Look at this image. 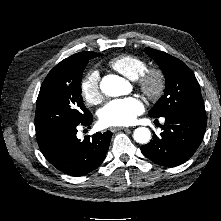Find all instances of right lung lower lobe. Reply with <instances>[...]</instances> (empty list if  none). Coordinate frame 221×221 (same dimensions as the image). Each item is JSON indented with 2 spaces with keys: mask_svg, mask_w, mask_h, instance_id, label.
I'll return each instance as SVG.
<instances>
[{
  "mask_svg": "<svg viewBox=\"0 0 221 221\" xmlns=\"http://www.w3.org/2000/svg\"><path fill=\"white\" fill-rule=\"evenodd\" d=\"M90 115L81 124L91 125ZM78 125H64L36 133L37 142L46 159L58 170L72 176L85 175L97 168L105 158L112 133H96L83 141L76 137Z\"/></svg>",
  "mask_w": 221,
  "mask_h": 221,
  "instance_id": "right-lung-lower-lobe-1",
  "label": "right lung lower lobe"
}]
</instances>
